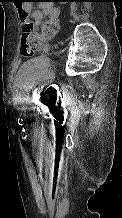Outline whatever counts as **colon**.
<instances>
[{"label": "colon", "instance_id": "obj_1", "mask_svg": "<svg viewBox=\"0 0 122 218\" xmlns=\"http://www.w3.org/2000/svg\"><path fill=\"white\" fill-rule=\"evenodd\" d=\"M25 20L22 29L20 53L24 57H31L38 53L44 46V43L52 39L58 31V23L55 20L47 21L40 33L34 30L33 24L27 19V13L22 11Z\"/></svg>", "mask_w": 122, "mask_h": 218}]
</instances>
